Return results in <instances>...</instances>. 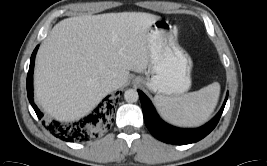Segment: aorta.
Returning <instances> with one entry per match:
<instances>
[{
    "label": "aorta",
    "instance_id": "1",
    "mask_svg": "<svg viewBox=\"0 0 267 166\" xmlns=\"http://www.w3.org/2000/svg\"><path fill=\"white\" fill-rule=\"evenodd\" d=\"M138 98H139V95L135 89H128L124 93V99L129 103L136 102Z\"/></svg>",
    "mask_w": 267,
    "mask_h": 166
}]
</instances>
